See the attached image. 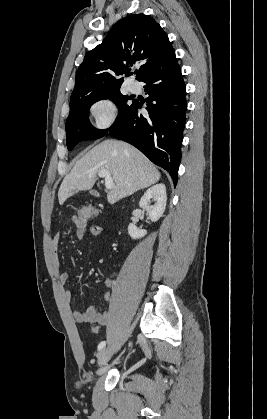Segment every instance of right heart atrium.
<instances>
[{
	"instance_id": "1",
	"label": "right heart atrium",
	"mask_w": 267,
	"mask_h": 419,
	"mask_svg": "<svg viewBox=\"0 0 267 419\" xmlns=\"http://www.w3.org/2000/svg\"><path fill=\"white\" fill-rule=\"evenodd\" d=\"M90 114L94 121V127L98 130L109 128L117 116L115 104L107 98L98 99L90 106Z\"/></svg>"
}]
</instances>
